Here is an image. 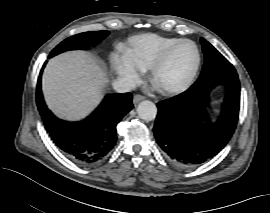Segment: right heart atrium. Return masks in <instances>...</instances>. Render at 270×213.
Returning a JSON list of instances; mask_svg holds the SVG:
<instances>
[{
    "label": "right heart atrium",
    "instance_id": "right-heart-atrium-1",
    "mask_svg": "<svg viewBox=\"0 0 270 213\" xmlns=\"http://www.w3.org/2000/svg\"><path fill=\"white\" fill-rule=\"evenodd\" d=\"M114 66L119 75L128 80L129 82L135 84L140 80L141 70L129 65L123 57L114 56Z\"/></svg>",
    "mask_w": 270,
    "mask_h": 213
}]
</instances>
